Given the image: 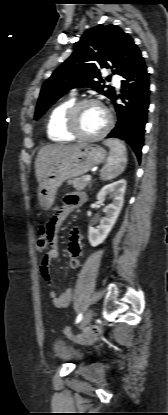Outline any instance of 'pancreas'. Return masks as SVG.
Here are the masks:
<instances>
[{
	"mask_svg": "<svg viewBox=\"0 0 168 415\" xmlns=\"http://www.w3.org/2000/svg\"><path fill=\"white\" fill-rule=\"evenodd\" d=\"M85 178L86 176L76 178L74 180L69 181L68 184L73 185L74 189L82 191L90 184V181H86Z\"/></svg>",
	"mask_w": 168,
	"mask_h": 415,
	"instance_id": "obj_1",
	"label": "pancreas"
}]
</instances>
